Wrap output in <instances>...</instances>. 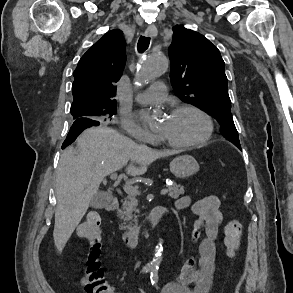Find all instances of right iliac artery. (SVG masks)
Returning <instances> with one entry per match:
<instances>
[{
    "label": "right iliac artery",
    "instance_id": "82829eb1",
    "mask_svg": "<svg viewBox=\"0 0 293 293\" xmlns=\"http://www.w3.org/2000/svg\"><path fill=\"white\" fill-rule=\"evenodd\" d=\"M150 271V269L149 268H144L143 270H142V272H149Z\"/></svg>",
    "mask_w": 293,
    "mask_h": 293
}]
</instances>
